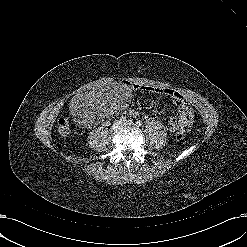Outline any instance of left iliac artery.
<instances>
[{
    "label": "left iliac artery",
    "mask_w": 247,
    "mask_h": 247,
    "mask_svg": "<svg viewBox=\"0 0 247 247\" xmlns=\"http://www.w3.org/2000/svg\"><path fill=\"white\" fill-rule=\"evenodd\" d=\"M136 124H137V126L139 127V126L142 125V122H141V121H137Z\"/></svg>",
    "instance_id": "1"
}]
</instances>
